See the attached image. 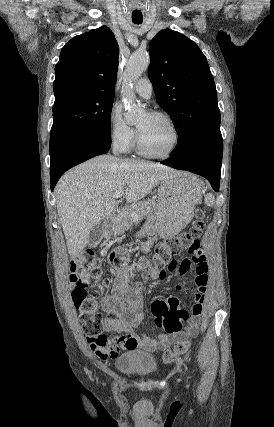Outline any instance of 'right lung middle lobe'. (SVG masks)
I'll return each mask as SVG.
<instances>
[{"instance_id":"right-lung-middle-lobe-1","label":"right lung middle lobe","mask_w":274,"mask_h":427,"mask_svg":"<svg viewBox=\"0 0 274 427\" xmlns=\"http://www.w3.org/2000/svg\"><path fill=\"white\" fill-rule=\"evenodd\" d=\"M114 95L67 96L53 106L50 156L65 143L87 135L111 137Z\"/></svg>"}]
</instances>
